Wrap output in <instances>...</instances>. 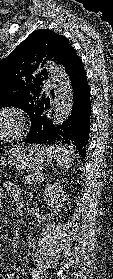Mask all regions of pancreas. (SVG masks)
<instances>
[{
  "mask_svg": "<svg viewBox=\"0 0 113 279\" xmlns=\"http://www.w3.org/2000/svg\"><path fill=\"white\" fill-rule=\"evenodd\" d=\"M42 177H43L42 173H28V175L25 177L24 181L26 184H33V183H36Z\"/></svg>",
  "mask_w": 113,
  "mask_h": 279,
  "instance_id": "pancreas-1",
  "label": "pancreas"
}]
</instances>
